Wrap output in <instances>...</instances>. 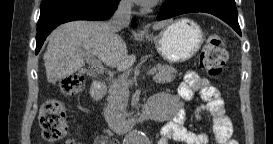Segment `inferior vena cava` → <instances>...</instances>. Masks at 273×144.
<instances>
[{"label": "inferior vena cava", "instance_id": "obj_1", "mask_svg": "<svg viewBox=\"0 0 273 144\" xmlns=\"http://www.w3.org/2000/svg\"><path fill=\"white\" fill-rule=\"evenodd\" d=\"M131 5L132 3L130 0L120 1L117 10L109 21V29L111 33L116 34V32L129 25L131 17Z\"/></svg>", "mask_w": 273, "mask_h": 144}]
</instances>
